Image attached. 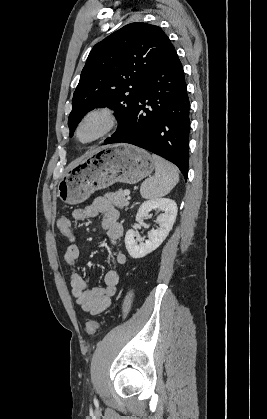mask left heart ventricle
<instances>
[{"instance_id": "obj_1", "label": "left heart ventricle", "mask_w": 267, "mask_h": 419, "mask_svg": "<svg viewBox=\"0 0 267 419\" xmlns=\"http://www.w3.org/2000/svg\"><path fill=\"white\" fill-rule=\"evenodd\" d=\"M100 128V122L92 120L88 122L81 130V138L87 140L94 136Z\"/></svg>"}]
</instances>
